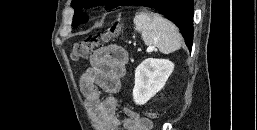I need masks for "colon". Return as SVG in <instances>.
<instances>
[{
	"label": "colon",
	"mask_w": 257,
	"mask_h": 130,
	"mask_svg": "<svg viewBox=\"0 0 257 130\" xmlns=\"http://www.w3.org/2000/svg\"><path fill=\"white\" fill-rule=\"evenodd\" d=\"M117 30L118 25L117 23H114L109 32L97 35L92 38H88L84 41L77 42L72 48L71 58L74 61H79L87 58L103 41H105L109 37L110 34L116 33ZM147 117L148 119L153 120L157 118V114L149 112L147 113Z\"/></svg>",
	"instance_id": "5ec220e1"
}]
</instances>
